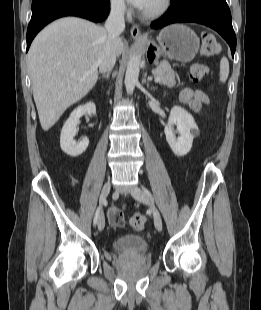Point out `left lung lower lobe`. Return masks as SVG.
Returning a JSON list of instances; mask_svg holds the SVG:
<instances>
[{
	"instance_id": "0a47b994",
	"label": "left lung lower lobe",
	"mask_w": 261,
	"mask_h": 310,
	"mask_svg": "<svg viewBox=\"0 0 261 310\" xmlns=\"http://www.w3.org/2000/svg\"><path fill=\"white\" fill-rule=\"evenodd\" d=\"M178 22H194L216 30L229 44L232 56L236 49V36L226 0H171L168 11L151 23L152 29Z\"/></svg>"
}]
</instances>
